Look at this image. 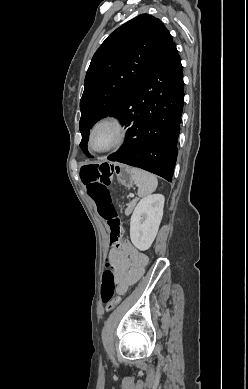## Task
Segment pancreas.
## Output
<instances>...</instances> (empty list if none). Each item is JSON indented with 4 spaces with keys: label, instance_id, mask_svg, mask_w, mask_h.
Returning a JSON list of instances; mask_svg holds the SVG:
<instances>
[{
    "label": "pancreas",
    "instance_id": "pancreas-1",
    "mask_svg": "<svg viewBox=\"0 0 248 389\" xmlns=\"http://www.w3.org/2000/svg\"><path fill=\"white\" fill-rule=\"evenodd\" d=\"M136 201H137V198H135L132 202H130V203L128 204V207H127V209L125 210L126 215H129V214L132 212V210H133V208H134V206H135V204H136Z\"/></svg>",
    "mask_w": 248,
    "mask_h": 389
}]
</instances>
